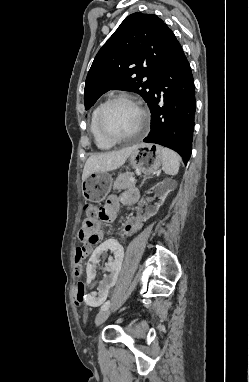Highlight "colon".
Masks as SVG:
<instances>
[{
	"label": "colon",
	"mask_w": 249,
	"mask_h": 382,
	"mask_svg": "<svg viewBox=\"0 0 249 382\" xmlns=\"http://www.w3.org/2000/svg\"><path fill=\"white\" fill-rule=\"evenodd\" d=\"M83 212L85 216L87 217V219L96 220L101 215V208H99L96 204L87 203L83 206ZM94 242H97V240H95ZM85 254H86V250L84 248L79 247L78 251L76 252L77 265L75 266V270H74V275L76 278H79L81 273L83 272L81 261L84 258ZM85 297H86L85 285L82 282H79L77 284L75 299L77 302L79 301L81 302L82 299Z\"/></svg>",
	"instance_id": "colon-1"
}]
</instances>
